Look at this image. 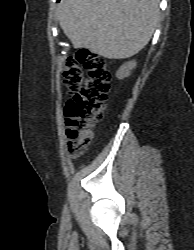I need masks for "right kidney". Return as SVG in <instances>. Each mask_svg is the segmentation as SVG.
I'll use <instances>...</instances> for the list:
<instances>
[{
  "mask_svg": "<svg viewBox=\"0 0 194 250\" xmlns=\"http://www.w3.org/2000/svg\"><path fill=\"white\" fill-rule=\"evenodd\" d=\"M136 67V61H129L123 64L116 73L118 79H124L130 76L131 71Z\"/></svg>",
  "mask_w": 194,
  "mask_h": 250,
  "instance_id": "obj_1",
  "label": "right kidney"
}]
</instances>
